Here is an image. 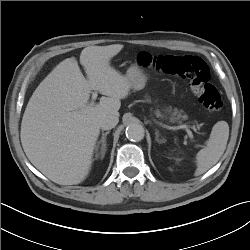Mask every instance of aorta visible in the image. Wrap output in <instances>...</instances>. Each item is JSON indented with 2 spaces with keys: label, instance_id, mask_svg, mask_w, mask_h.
Listing matches in <instances>:
<instances>
[{
  "label": "aorta",
  "instance_id": "762f6f07",
  "mask_svg": "<svg viewBox=\"0 0 250 250\" xmlns=\"http://www.w3.org/2000/svg\"><path fill=\"white\" fill-rule=\"evenodd\" d=\"M145 131L141 124L130 123L126 128V136L133 142H139L144 138Z\"/></svg>",
  "mask_w": 250,
  "mask_h": 250
}]
</instances>
